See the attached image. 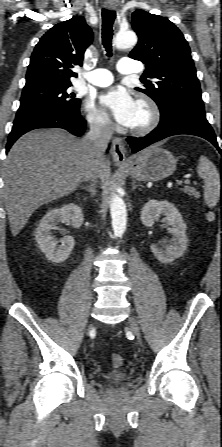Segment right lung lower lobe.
Returning a JSON list of instances; mask_svg holds the SVG:
<instances>
[{
    "instance_id": "1",
    "label": "right lung lower lobe",
    "mask_w": 222,
    "mask_h": 447,
    "mask_svg": "<svg viewBox=\"0 0 222 447\" xmlns=\"http://www.w3.org/2000/svg\"><path fill=\"white\" fill-rule=\"evenodd\" d=\"M86 121L83 120L79 109H63L50 114L31 118L21 122H14L9 135L6 151L26 132L38 128H63L79 136L85 131Z\"/></svg>"
}]
</instances>
